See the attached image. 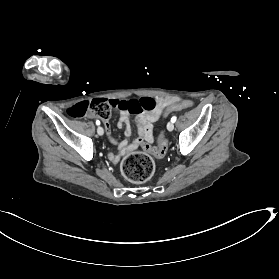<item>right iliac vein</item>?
Listing matches in <instances>:
<instances>
[{
    "mask_svg": "<svg viewBox=\"0 0 279 279\" xmlns=\"http://www.w3.org/2000/svg\"><path fill=\"white\" fill-rule=\"evenodd\" d=\"M97 133H98V135H100V136H102V135L104 134V130H103V128H102L101 126H99V127L97 128Z\"/></svg>",
    "mask_w": 279,
    "mask_h": 279,
    "instance_id": "63e3f726",
    "label": "right iliac vein"
}]
</instances>
